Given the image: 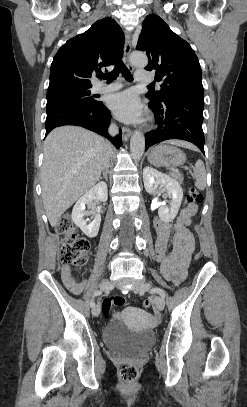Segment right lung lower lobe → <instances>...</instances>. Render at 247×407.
<instances>
[{
  "label": "right lung lower lobe",
  "mask_w": 247,
  "mask_h": 407,
  "mask_svg": "<svg viewBox=\"0 0 247 407\" xmlns=\"http://www.w3.org/2000/svg\"><path fill=\"white\" fill-rule=\"evenodd\" d=\"M110 118V111L100 101L93 106L65 105L52 108L47 110L46 135L58 126L77 125L105 136L119 148L122 144L119 136L113 138L108 134Z\"/></svg>",
  "instance_id": "right-lung-lower-lobe-1"
}]
</instances>
